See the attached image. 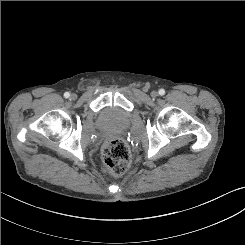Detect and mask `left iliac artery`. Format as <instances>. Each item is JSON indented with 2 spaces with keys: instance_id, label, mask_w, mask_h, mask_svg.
<instances>
[{
  "instance_id": "44dca946",
  "label": "left iliac artery",
  "mask_w": 245,
  "mask_h": 245,
  "mask_svg": "<svg viewBox=\"0 0 245 245\" xmlns=\"http://www.w3.org/2000/svg\"><path fill=\"white\" fill-rule=\"evenodd\" d=\"M164 94H165V90H164V89H160V90H159V95L162 96V95H164Z\"/></svg>"
}]
</instances>
